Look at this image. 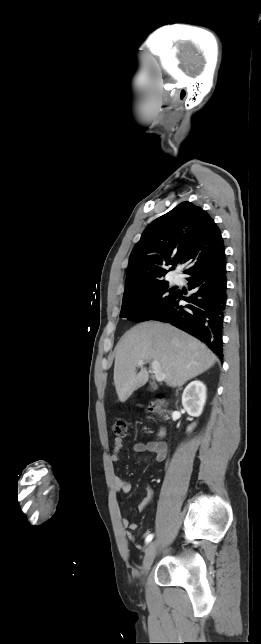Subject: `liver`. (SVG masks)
Segmentation results:
<instances>
[{
  "label": "liver",
  "mask_w": 261,
  "mask_h": 644,
  "mask_svg": "<svg viewBox=\"0 0 261 644\" xmlns=\"http://www.w3.org/2000/svg\"><path fill=\"white\" fill-rule=\"evenodd\" d=\"M139 360L158 361L167 386L177 387L211 368L216 356L205 344L169 324H137L116 346L114 385L121 402L149 379L146 368L136 373Z\"/></svg>",
  "instance_id": "6515ba94"
}]
</instances>
